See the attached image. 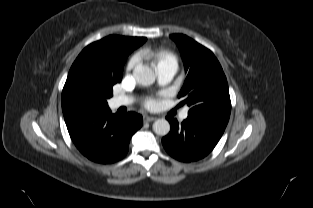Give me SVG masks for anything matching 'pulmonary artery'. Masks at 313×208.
Wrapping results in <instances>:
<instances>
[{
	"mask_svg": "<svg viewBox=\"0 0 313 208\" xmlns=\"http://www.w3.org/2000/svg\"><path fill=\"white\" fill-rule=\"evenodd\" d=\"M176 72H177V65L173 63H168V64L158 67L157 74H158L159 83L162 85L168 84L173 79ZM129 103H130V99L126 97H122V96L114 97L112 100L113 107L115 108L128 105ZM187 117H188V110H184L180 115V119L184 120Z\"/></svg>",
	"mask_w": 313,
	"mask_h": 208,
	"instance_id": "1",
	"label": "pulmonary artery"
}]
</instances>
